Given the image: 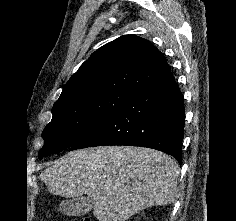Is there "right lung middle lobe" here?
Segmentation results:
<instances>
[{"mask_svg": "<svg viewBox=\"0 0 236 221\" xmlns=\"http://www.w3.org/2000/svg\"><path fill=\"white\" fill-rule=\"evenodd\" d=\"M135 93L127 89L102 90L53 106V117L42 133L45 144L38 157L72 147Z\"/></svg>", "mask_w": 236, "mask_h": 221, "instance_id": "obj_1", "label": "right lung middle lobe"}]
</instances>
